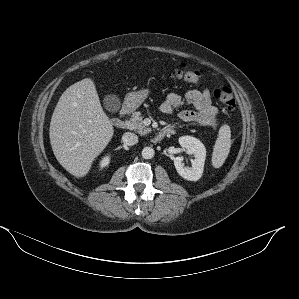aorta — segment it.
<instances>
[{"mask_svg": "<svg viewBox=\"0 0 299 299\" xmlns=\"http://www.w3.org/2000/svg\"><path fill=\"white\" fill-rule=\"evenodd\" d=\"M155 151L152 147H145L142 150V157L144 159H151L154 157Z\"/></svg>", "mask_w": 299, "mask_h": 299, "instance_id": "1", "label": "aorta"}]
</instances>
